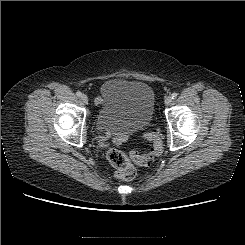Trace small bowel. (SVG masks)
<instances>
[{"instance_id":"obj_1","label":"small bowel","mask_w":245,"mask_h":245,"mask_svg":"<svg viewBox=\"0 0 245 245\" xmlns=\"http://www.w3.org/2000/svg\"><path fill=\"white\" fill-rule=\"evenodd\" d=\"M122 141H123V137L117 139V140L115 141V143L119 144V143H121ZM103 142H105V139H103Z\"/></svg>"}]
</instances>
